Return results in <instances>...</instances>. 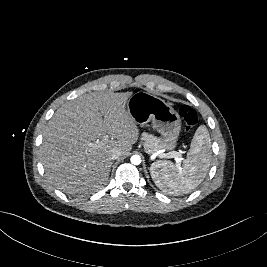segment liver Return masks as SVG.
I'll use <instances>...</instances> for the list:
<instances>
[{
  "instance_id": "obj_1",
  "label": "liver",
  "mask_w": 267,
  "mask_h": 267,
  "mask_svg": "<svg viewBox=\"0 0 267 267\" xmlns=\"http://www.w3.org/2000/svg\"><path fill=\"white\" fill-rule=\"evenodd\" d=\"M132 92H100L81 95L54 113L43 133L41 161L48 180L70 194L102 189L109 179V153L118 149L127 156L139 137V129L127 111ZM111 136L97 147L88 144Z\"/></svg>"
}]
</instances>
